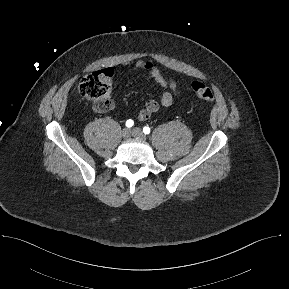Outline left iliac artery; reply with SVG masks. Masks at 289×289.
I'll return each mask as SVG.
<instances>
[{"mask_svg":"<svg viewBox=\"0 0 289 289\" xmlns=\"http://www.w3.org/2000/svg\"><path fill=\"white\" fill-rule=\"evenodd\" d=\"M143 133H144V134H149V133H150V128H149L148 126H145V127L143 128Z\"/></svg>","mask_w":289,"mask_h":289,"instance_id":"44dca946","label":"left iliac artery"}]
</instances>
